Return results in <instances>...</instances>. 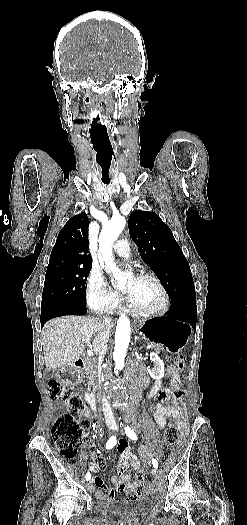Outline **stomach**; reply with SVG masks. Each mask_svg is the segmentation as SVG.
Returning a JSON list of instances; mask_svg holds the SVG:
<instances>
[{
  "mask_svg": "<svg viewBox=\"0 0 247 525\" xmlns=\"http://www.w3.org/2000/svg\"><path fill=\"white\" fill-rule=\"evenodd\" d=\"M137 329L150 343L162 345L171 353L181 351L190 334V327L185 322L166 317L144 320Z\"/></svg>",
  "mask_w": 247,
  "mask_h": 525,
  "instance_id": "stomach-1",
  "label": "stomach"
}]
</instances>
